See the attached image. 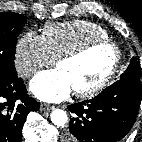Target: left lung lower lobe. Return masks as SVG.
<instances>
[{"instance_id":"0a47b994","label":"left lung lower lobe","mask_w":142,"mask_h":142,"mask_svg":"<svg viewBox=\"0 0 142 142\" xmlns=\"http://www.w3.org/2000/svg\"><path fill=\"white\" fill-rule=\"evenodd\" d=\"M142 97L140 78L120 79L96 97L68 109L74 113L65 142H117L133 126Z\"/></svg>"}]
</instances>
